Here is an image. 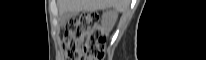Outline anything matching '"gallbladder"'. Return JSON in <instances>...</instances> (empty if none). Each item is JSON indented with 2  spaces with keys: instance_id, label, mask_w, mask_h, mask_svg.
<instances>
[{
  "instance_id": "gallbladder-1",
  "label": "gallbladder",
  "mask_w": 206,
  "mask_h": 60,
  "mask_svg": "<svg viewBox=\"0 0 206 60\" xmlns=\"http://www.w3.org/2000/svg\"><path fill=\"white\" fill-rule=\"evenodd\" d=\"M78 12H67L62 15L61 20L63 23H66L71 17L76 16Z\"/></svg>"
}]
</instances>
